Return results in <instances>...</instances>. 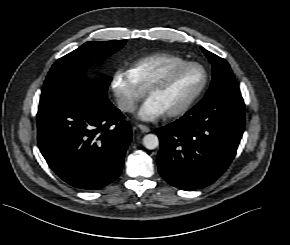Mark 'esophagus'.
I'll return each instance as SVG.
<instances>
[{
	"mask_svg": "<svg viewBox=\"0 0 290 245\" xmlns=\"http://www.w3.org/2000/svg\"><path fill=\"white\" fill-rule=\"evenodd\" d=\"M137 126H138V128H139L142 132H144V133H148V132H150V128L147 127L146 125L138 124Z\"/></svg>",
	"mask_w": 290,
	"mask_h": 245,
	"instance_id": "1",
	"label": "esophagus"
}]
</instances>
